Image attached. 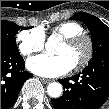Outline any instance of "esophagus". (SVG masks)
Instances as JSON below:
<instances>
[{
  "label": "esophagus",
  "instance_id": "1",
  "mask_svg": "<svg viewBox=\"0 0 109 109\" xmlns=\"http://www.w3.org/2000/svg\"><path fill=\"white\" fill-rule=\"evenodd\" d=\"M40 80H41V82L44 83V84H48V83L51 82V80H49V79H44V78H41Z\"/></svg>",
  "mask_w": 109,
  "mask_h": 109
}]
</instances>
